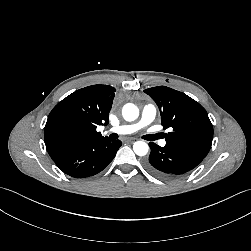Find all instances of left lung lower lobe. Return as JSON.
I'll return each instance as SVG.
<instances>
[{
	"label": "left lung lower lobe",
	"instance_id": "left-lung-lower-lobe-1",
	"mask_svg": "<svg viewBox=\"0 0 251 251\" xmlns=\"http://www.w3.org/2000/svg\"><path fill=\"white\" fill-rule=\"evenodd\" d=\"M151 154L146 162L147 170L163 180H174L195 168L205 156L194 151L166 144L160 147L149 143Z\"/></svg>",
	"mask_w": 251,
	"mask_h": 251
}]
</instances>
